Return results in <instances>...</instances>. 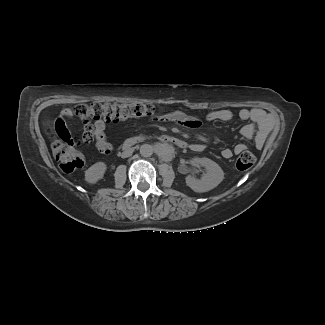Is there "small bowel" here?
<instances>
[{"instance_id": "small-bowel-1", "label": "small bowel", "mask_w": 325, "mask_h": 325, "mask_svg": "<svg viewBox=\"0 0 325 325\" xmlns=\"http://www.w3.org/2000/svg\"><path fill=\"white\" fill-rule=\"evenodd\" d=\"M238 116L241 120L251 122V124L242 129V134L245 137H251L257 132L261 140L271 123V118L261 109H241ZM61 117L57 118L55 123L62 143L72 147H84L86 144L94 143L101 154L110 155L112 153L113 146L106 138V122L104 120L98 119L93 123H85L83 137H75L68 134V128L65 122L66 118L71 117V108L63 109ZM166 118L169 120H177L190 129H197L202 125V121L199 117H185L178 112L169 113L166 115ZM233 118L234 113L228 109L211 111L206 115V120L208 122H229L233 120ZM190 148L193 151L201 152L205 149V145L202 143H193ZM246 148L247 146L245 144L239 143L233 149H223L221 155L223 158L229 159L233 154H239L246 150Z\"/></svg>"}]
</instances>
